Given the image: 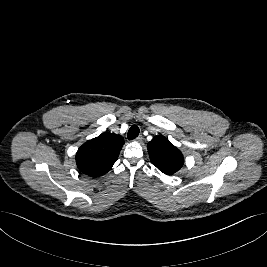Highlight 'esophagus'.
Returning <instances> with one entry per match:
<instances>
[{
	"instance_id": "34e87169",
	"label": "esophagus",
	"mask_w": 267,
	"mask_h": 267,
	"mask_svg": "<svg viewBox=\"0 0 267 267\" xmlns=\"http://www.w3.org/2000/svg\"><path fill=\"white\" fill-rule=\"evenodd\" d=\"M142 140H143L142 135H139V136L135 139V141L138 142V143L142 142Z\"/></svg>"
}]
</instances>
